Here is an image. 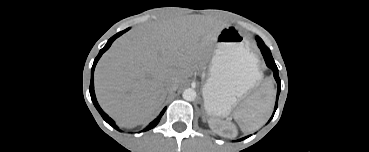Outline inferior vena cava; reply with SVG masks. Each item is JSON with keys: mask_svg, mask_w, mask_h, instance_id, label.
<instances>
[{"mask_svg": "<svg viewBox=\"0 0 369 152\" xmlns=\"http://www.w3.org/2000/svg\"><path fill=\"white\" fill-rule=\"evenodd\" d=\"M178 88V83L174 80H169L167 82V90L168 91H175Z\"/></svg>", "mask_w": 369, "mask_h": 152, "instance_id": "602c4592", "label": "inferior vena cava"}]
</instances>
